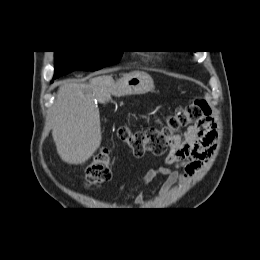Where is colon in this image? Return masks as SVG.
<instances>
[{"instance_id":"5ec220e1","label":"colon","mask_w":260,"mask_h":260,"mask_svg":"<svg viewBox=\"0 0 260 260\" xmlns=\"http://www.w3.org/2000/svg\"><path fill=\"white\" fill-rule=\"evenodd\" d=\"M210 107L203 99L193 100L185 107L176 109L166 117L165 123L148 127L144 131H133L127 126L117 131L118 138L131 149L135 157L146 153L163 155L171 147L177 133L192 124L209 119ZM111 178V158L107 148H102L85 170V185L99 186Z\"/></svg>"}]
</instances>
